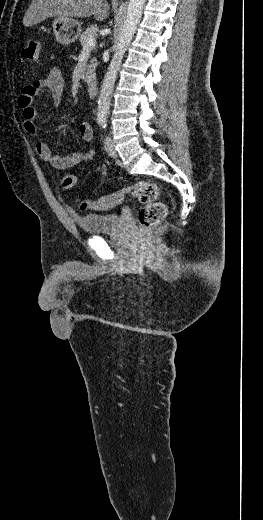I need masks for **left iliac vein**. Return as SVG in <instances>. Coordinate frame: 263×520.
Wrapping results in <instances>:
<instances>
[{
  "instance_id": "left-iliac-vein-1",
  "label": "left iliac vein",
  "mask_w": 263,
  "mask_h": 520,
  "mask_svg": "<svg viewBox=\"0 0 263 520\" xmlns=\"http://www.w3.org/2000/svg\"><path fill=\"white\" fill-rule=\"evenodd\" d=\"M104 146L109 156L116 158L118 157V153L114 148L113 141L110 137L106 136L104 140Z\"/></svg>"
}]
</instances>
